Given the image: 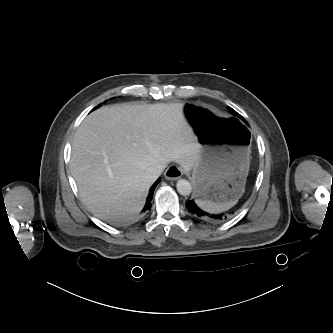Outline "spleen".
Returning a JSON list of instances; mask_svg holds the SVG:
<instances>
[{
  "instance_id": "obj_1",
  "label": "spleen",
  "mask_w": 333,
  "mask_h": 333,
  "mask_svg": "<svg viewBox=\"0 0 333 333\" xmlns=\"http://www.w3.org/2000/svg\"><path fill=\"white\" fill-rule=\"evenodd\" d=\"M196 204L204 211L209 212V213H221L224 211L229 210L232 208L235 204L229 205V204H216L207 200H201V199H196L195 200Z\"/></svg>"
}]
</instances>
